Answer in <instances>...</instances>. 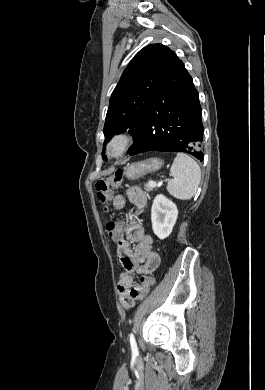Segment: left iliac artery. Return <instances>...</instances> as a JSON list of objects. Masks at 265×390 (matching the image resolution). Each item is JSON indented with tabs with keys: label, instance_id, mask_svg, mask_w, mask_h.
I'll list each match as a JSON object with an SVG mask.
<instances>
[{
	"label": "left iliac artery",
	"instance_id": "obj_1",
	"mask_svg": "<svg viewBox=\"0 0 265 390\" xmlns=\"http://www.w3.org/2000/svg\"><path fill=\"white\" fill-rule=\"evenodd\" d=\"M130 345H131V350H132L133 355H138L137 344H136L134 335L132 333L130 334Z\"/></svg>",
	"mask_w": 265,
	"mask_h": 390
}]
</instances>
